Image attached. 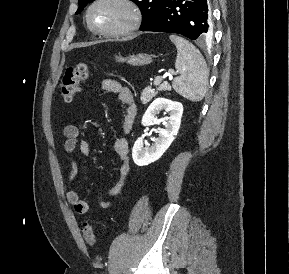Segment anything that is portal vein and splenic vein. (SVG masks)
I'll list each match as a JSON object with an SVG mask.
<instances>
[{
    "label": "portal vein and splenic vein",
    "instance_id": "portal-vein-and-splenic-vein-1",
    "mask_svg": "<svg viewBox=\"0 0 289 274\" xmlns=\"http://www.w3.org/2000/svg\"><path fill=\"white\" fill-rule=\"evenodd\" d=\"M172 75H177V73L172 72V73L170 74V76L172 77ZM162 79H163L162 76L156 77L155 80H154V85H159V84L161 83Z\"/></svg>",
    "mask_w": 289,
    "mask_h": 274
}]
</instances>
